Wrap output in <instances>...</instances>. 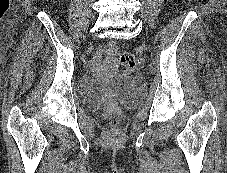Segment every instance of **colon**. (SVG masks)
Masks as SVG:
<instances>
[{
    "mask_svg": "<svg viewBox=\"0 0 227 173\" xmlns=\"http://www.w3.org/2000/svg\"><path fill=\"white\" fill-rule=\"evenodd\" d=\"M104 50L109 55H115L117 53V47L114 43H107L104 46ZM119 59H120V62L126 67L135 68L137 65L134 57L128 53L120 54ZM105 123L107 124V126L112 128L118 126L119 124L118 116L114 114L108 115L105 118Z\"/></svg>",
    "mask_w": 227,
    "mask_h": 173,
    "instance_id": "obj_1",
    "label": "colon"
}]
</instances>
